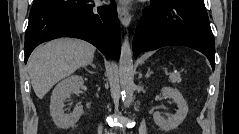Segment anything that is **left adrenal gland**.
I'll return each mask as SVG.
<instances>
[{
  "instance_id": "left-adrenal-gland-1",
  "label": "left adrenal gland",
  "mask_w": 239,
  "mask_h": 134,
  "mask_svg": "<svg viewBox=\"0 0 239 134\" xmlns=\"http://www.w3.org/2000/svg\"><path fill=\"white\" fill-rule=\"evenodd\" d=\"M152 73L153 72L150 70V68H148L145 78H149Z\"/></svg>"
}]
</instances>
